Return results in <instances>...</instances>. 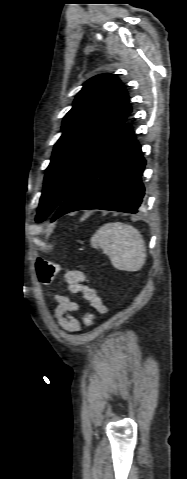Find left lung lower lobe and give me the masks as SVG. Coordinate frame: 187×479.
Masks as SVG:
<instances>
[{"instance_id":"0a47b994","label":"left lung lower lobe","mask_w":187,"mask_h":479,"mask_svg":"<svg viewBox=\"0 0 187 479\" xmlns=\"http://www.w3.org/2000/svg\"><path fill=\"white\" fill-rule=\"evenodd\" d=\"M145 159L132 127L126 124L113 145L83 174L55 210L52 221L84 209L137 213L144 197Z\"/></svg>"}]
</instances>
